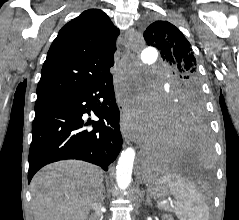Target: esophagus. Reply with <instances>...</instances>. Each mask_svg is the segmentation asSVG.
<instances>
[{"label": "esophagus", "mask_w": 239, "mask_h": 220, "mask_svg": "<svg viewBox=\"0 0 239 220\" xmlns=\"http://www.w3.org/2000/svg\"><path fill=\"white\" fill-rule=\"evenodd\" d=\"M120 33L122 32L121 30L119 31ZM117 54H118V60L122 61L123 59L127 58L129 55V52L125 49L124 47V42H119L120 40H117ZM119 75L120 72L116 71L114 73V79H113V84H112V91L113 92H120L121 91V87L122 84L120 83V79H119ZM115 102H117V107L119 108V113H120V117L119 118V123H121V132L123 135V138L126 142L129 141V136L126 133L125 127H124V118H126V99H124V93H115Z\"/></svg>", "instance_id": "obj_1"}]
</instances>
